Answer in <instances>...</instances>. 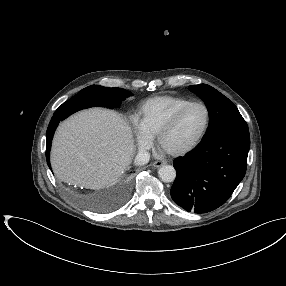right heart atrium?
Here are the masks:
<instances>
[{
    "instance_id": "obj_1",
    "label": "right heart atrium",
    "mask_w": 286,
    "mask_h": 286,
    "mask_svg": "<svg viewBox=\"0 0 286 286\" xmlns=\"http://www.w3.org/2000/svg\"><path fill=\"white\" fill-rule=\"evenodd\" d=\"M134 127L137 135V142L140 148L147 149L152 144V136L149 135L142 127L140 122L134 121Z\"/></svg>"
}]
</instances>
